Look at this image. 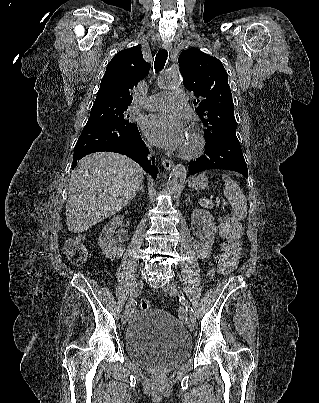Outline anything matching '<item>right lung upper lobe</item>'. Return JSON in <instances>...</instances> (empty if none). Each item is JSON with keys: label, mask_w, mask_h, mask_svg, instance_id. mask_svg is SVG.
<instances>
[{"label": "right lung upper lobe", "mask_w": 319, "mask_h": 403, "mask_svg": "<svg viewBox=\"0 0 319 403\" xmlns=\"http://www.w3.org/2000/svg\"><path fill=\"white\" fill-rule=\"evenodd\" d=\"M150 64L138 46L117 53L107 65L95 102L130 105L131 92L147 76Z\"/></svg>", "instance_id": "cb5924a9"}]
</instances>
